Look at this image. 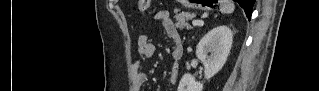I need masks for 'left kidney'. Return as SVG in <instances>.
<instances>
[{"instance_id": "left-kidney-1", "label": "left kidney", "mask_w": 319, "mask_h": 91, "mask_svg": "<svg viewBox=\"0 0 319 91\" xmlns=\"http://www.w3.org/2000/svg\"><path fill=\"white\" fill-rule=\"evenodd\" d=\"M233 33L227 26H217L201 38L196 48V56L204 65V77L209 80L224 66L232 46ZM210 53V55H209ZM203 82H196L187 73L178 86V91H202Z\"/></svg>"}]
</instances>
